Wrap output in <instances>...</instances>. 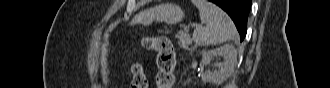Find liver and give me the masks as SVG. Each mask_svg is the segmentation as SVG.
Returning a JSON list of instances; mask_svg holds the SVG:
<instances>
[{
    "instance_id": "1",
    "label": "liver",
    "mask_w": 330,
    "mask_h": 88,
    "mask_svg": "<svg viewBox=\"0 0 330 88\" xmlns=\"http://www.w3.org/2000/svg\"><path fill=\"white\" fill-rule=\"evenodd\" d=\"M149 11L150 10L141 11L139 14L135 16L134 20L145 21L149 16Z\"/></svg>"
}]
</instances>
